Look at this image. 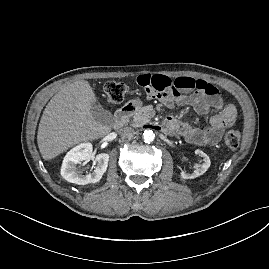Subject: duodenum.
<instances>
[{
    "mask_svg": "<svg viewBox=\"0 0 269 269\" xmlns=\"http://www.w3.org/2000/svg\"><path fill=\"white\" fill-rule=\"evenodd\" d=\"M136 110V105L134 103L128 102L125 103L123 106H121L116 112H115V121H114V128L120 129L122 128L129 116ZM161 129L163 131H168L169 127L167 124H163L161 126Z\"/></svg>",
    "mask_w": 269,
    "mask_h": 269,
    "instance_id": "1",
    "label": "duodenum"
}]
</instances>
